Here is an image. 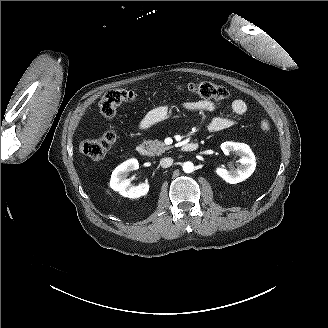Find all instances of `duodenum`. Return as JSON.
<instances>
[{"instance_id":"410a0bca","label":"duodenum","mask_w":328,"mask_h":328,"mask_svg":"<svg viewBox=\"0 0 328 328\" xmlns=\"http://www.w3.org/2000/svg\"><path fill=\"white\" fill-rule=\"evenodd\" d=\"M197 148H198V143L196 142H186L181 146V150L184 152H193ZM136 151L140 156L146 157L148 155V149L143 144H139L136 147Z\"/></svg>"}]
</instances>
